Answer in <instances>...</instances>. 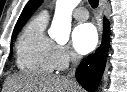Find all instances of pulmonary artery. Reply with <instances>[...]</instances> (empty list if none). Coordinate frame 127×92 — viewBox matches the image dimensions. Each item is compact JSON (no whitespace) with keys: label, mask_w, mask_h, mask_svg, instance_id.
<instances>
[{"label":"pulmonary artery","mask_w":127,"mask_h":92,"mask_svg":"<svg viewBox=\"0 0 127 92\" xmlns=\"http://www.w3.org/2000/svg\"><path fill=\"white\" fill-rule=\"evenodd\" d=\"M73 16L79 21L87 20L89 17L87 9L83 7L75 9L73 12Z\"/></svg>","instance_id":"e3ab8cb5"}]
</instances>
